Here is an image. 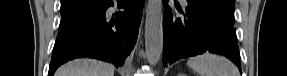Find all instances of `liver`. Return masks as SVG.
Here are the masks:
<instances>
[{
  "label": "liver",
  "mask_w": 287,
  "mask_h": 76,
  "mask_svg": "<svg viewBox=\"0 0 287 76\" xmlns=\"http://www.w3.org/2000/svg\"><path fill=\"white\" fill-rule=\"evenodd\" d=\"M55 76H114V67L95 59H76L61 66Z\"/></svg>",
  "instance_id": "6515ba94"
}]
</instances>
